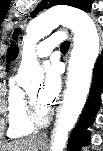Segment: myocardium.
Returning <instances> with one entry per match:
<instances>
[{
    "label": "myocardium",
    "mask_w": 103,
    "mask_h": 151,
    "mask_svg": "<svg viewBox=\"0 0 103 151\" xmlns=\"http://www.w3.org/2000/svg\"><path fill=\"white\" fill-rule=\"evenodd\" d=\"M25 102L27 119L34 127H43L49 123L52 115L50 109H47L45 114L40 115L34 101L27 91L25 92Z\"/></svg>",
    "instance_id": "f54148a6"
}]
</instances>
